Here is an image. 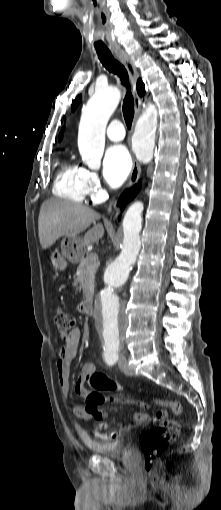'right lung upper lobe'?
<instances>
[{
  "mask_svg": "<svg viewBox=\"0 0 221 510\" xmlns=\"http://www.w3.org/2000/svg\"><path fill=\"white\" fill-rule=\"evenodd\" d=\"M137 90H138V93H139L140 96H142L144 94V92H145V90H144V83L140 79L137 82ZM62 133H63V130H62V132H61V134L59 136V140H61V138H62Z\"/></svg>",
  "mask_w": 221,
  "mask_h": 510,
  "instance_id": "obj_1",
  "label": "right lung upper lobe"
}]
</instances>
